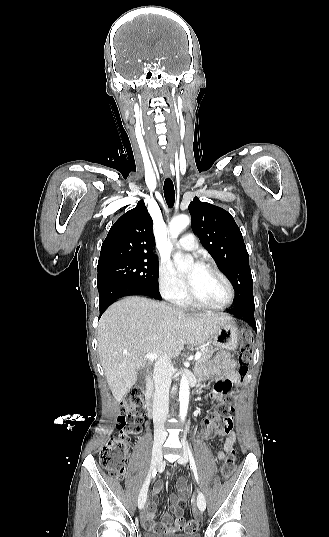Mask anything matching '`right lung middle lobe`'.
<instances>
[{"label": "right lung middle lobe", "instance_id": "obj_1", "mask_svg": "<svg viewBox=\"0 0 329 537\" xmlns=\"http://www.w3.org/2000/svg\"><path fill=\"white\" fill-rule=\"evenodd\" d=\"M97 282L115 280L159 290L158 258L119 260L98 264Z\"/></svg>", "mask_w": 329, "mask_h": 537}]
</instances>
